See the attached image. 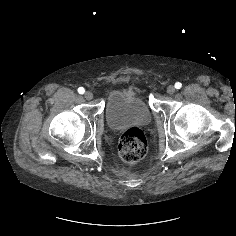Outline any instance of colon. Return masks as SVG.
<instances>
[{
  "label": "colon",
  "instance_id": "obj_1",
  "mask_svg": "<svg viewBox=\"0 0 236 236\" xmlns=\"http://www.w3.org/2000/svg\"><path fill=\"white\" fill-rule=\"evenodd\" d=\"M148 143L143 131L138 127L127 129L120 138L119 153L128 163L140 161L147 153Z\"/></svg>",
  "mask_w": 236,
  "mask_h": 236
}]
</instances>
